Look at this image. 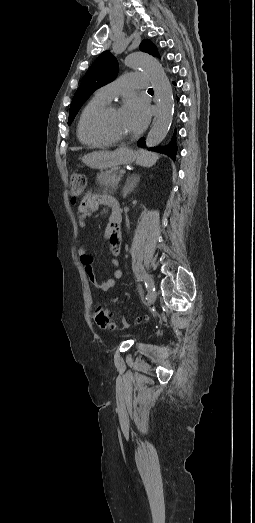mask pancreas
<instances>
[{"instance_id":"cf45deb5","label":"pancreas","mask_w":255,"mask_h":523,"mask_svg":"<svg viewBox=\"0 0 255 523\" xmlns=\"http://www.w3.org/2000/svg\"><path fill=\"white\" fill-rule=\"evenodd\" d=\"M120 178H122V175L118 174V170H108V172L97 174V182L101 186H106V192H110V194L117 190Z\"/></svg>"}]
</instances>
